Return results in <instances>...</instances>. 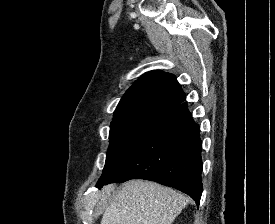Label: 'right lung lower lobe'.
I'll return each instance as SVG.
<instances>
[{
    "mask_svg": "<svg viewBox=\"0 0 275 224\" xmlns=\"http://www.w3.org/2000/svg\"><path fill=\"white\" fill-rule=\"evenodd\" d=\"M200 128L186 102L168 110L109 179L111 182L145 179L188 194L199 206L202 194Z\"/></svg>",
    "mask_w": 275,
    "mask_h": 224,
    "instance_id": "98d812e1",
    "label": "right lung lower lobe"
}]
</instances>
